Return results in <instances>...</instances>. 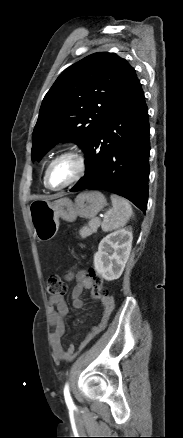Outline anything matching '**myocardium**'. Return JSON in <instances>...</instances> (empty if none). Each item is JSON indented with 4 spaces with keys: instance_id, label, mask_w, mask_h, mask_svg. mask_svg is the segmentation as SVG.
Listing matches in <instances>:
<instances>
[{
    "instance_id": "myocardium-1",
    "label": "myocardium",
    "mask_w": 183,
    "mask_h": 438,
    "mask_svg": "<svg viewBox=\"0 0 183 438\" xmlns=\"http://www.w3.org/2000/svg\"><path fill=\"white\" fill-rule=\"evenodd\" d=\"M64 158H72L75 160L76 163V173L73 176V178L71 180H69L67 183L58 186V187H53L49 184L48 182V176H49V172L51 170V167L59 160L64 159ZM87 170V161L86 158L84 157L83 154H81L80 152L77 151H66L63 152L57 156H55L47 165L45 172H44V176H43V181H44V185L46 188L52 190V191H57V190H61L64 189L76 182H78L86 173Z\"/></svg>"
}]
</instances>
